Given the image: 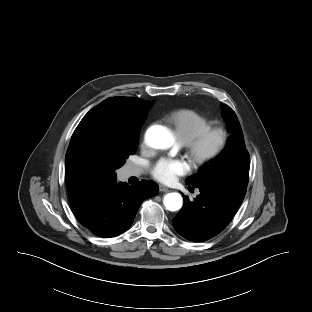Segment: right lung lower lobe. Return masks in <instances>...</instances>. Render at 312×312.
<instances>
[{"instance_id": "obj_1", "label": "right lung lower lobe", "mask_w": 312, "mask_h": 312, "mask_svg": "<svg viewBox=\"0 0 312 312\" xmlns=\"http://www.w3.org/2000/svg\"><path fill=\"white\" fill-rule=\"evenodd\" d=\"M158 190L152 181L143 180L132 187L115 180L74 211V215L95 235L114 237L131 226L142 201L157 195Z\"/></svg>"}]
</instances>
